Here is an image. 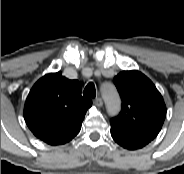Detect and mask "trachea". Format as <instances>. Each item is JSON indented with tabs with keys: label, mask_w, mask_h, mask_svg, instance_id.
<instances>
[{
	"label": "trachea",
	"mask_w": 184,
	"mask_h": 174,
	"mask_svg": "<svg viewBox=\"0 0 184 174\" xmlns=\"http://www.w3.org/2000/svg\"><path fill=\"white\" fill-rule=\"evenodd\" d=\"M83 95L90 98H94L96 96L95 85L92 82L87 84L83 91Z\"/></svg>",
	"instance_id": "1"
}]
</instances>
